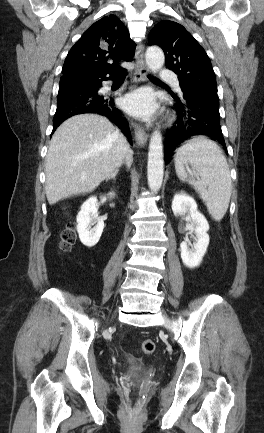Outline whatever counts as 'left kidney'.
Instances as JSON below:
<instances>
[{"mask_svg": "<svg viewBox=\"0 0 264 433\" xmlns=\"http://www.w3.org/2000/svg\"><path fill=\"white\" fill-rule=\"evenodd\" d=\"M172 211L175 216L187 213L191 217L196 242L190 248L188 240L182 241L180 248L184 265L190 269H194L200 265L207 251L209 245V235L207 234L209 224L204 215L198 211L196 201L184 192L174 195Z\"/></svg>", "mask_w": 264, "mask_h": 433, "instance_id": "5707ae66", "label": "left kidney"}]
</instances>
